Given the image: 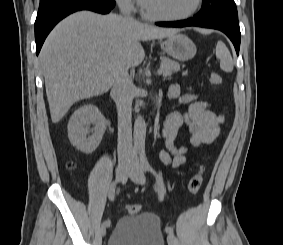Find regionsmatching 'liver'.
<instances>
[{
    "instance_id": "1",
    "label": "liver",
    "mask_w": 283,
    "mask_h": 245,
    "mask_svg": "<svg viewBox=\"0 0 283 245\" xmlns=\"http://www.w3.org/2000/svg\"><path fill=\"white\" fill-rule=\"evenodd\" d=\"M176 32L112 13L80 11L62 20L39 55L52 122L75 102L106 93L120 72L139 65L145 57L141 41Z\"/></svg>"
}]
</instances>
